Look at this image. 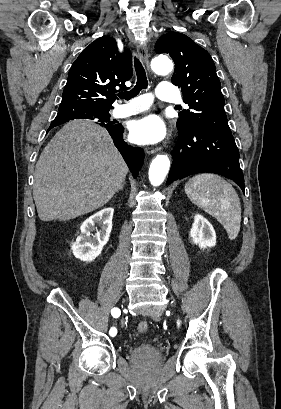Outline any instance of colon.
I'll return each mask as SVG.
<instances>
[{
    "label": "colon",
    "instance_id": "1",
    "mask_svg": "<svg viewBox=\"0 0 281 409\" xmlns=\"http://www.w3.org/2000/svg\"><path fill=\"white\" fill-rule=\"evenodd\" d=\"M149 323L147 321H140L136 324V331L140 334H145L149 331Z\"/></svg>",
    "mask_w": 281,
    "mask_h": 409
}]
</instances>
